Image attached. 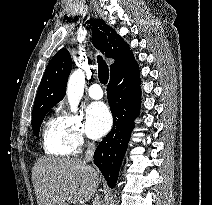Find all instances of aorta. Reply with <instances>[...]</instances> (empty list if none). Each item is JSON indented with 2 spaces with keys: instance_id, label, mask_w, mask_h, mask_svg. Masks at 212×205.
<instances>
[{
  "instance_id": "obj_1",
  "label": "aorta",
  "mask_w": 212,
  "mask_h": 205,
  "mask_svg": "<svg viewBox=\"0 0 212 205\" xmlns=\"http://www.w3.org/2000/svg\"><path fill=\"white\" fill-rule=\"evenodd\" d=\"M85 86V75L81 70L74 71L68 80L66 95L72 111L77 110V106L83 96Z\"/></svg>"
}]
</instances>
